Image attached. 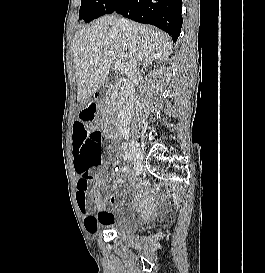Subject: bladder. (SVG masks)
Listing matches in <instances>:
<instances>
[{
	"mask_svg": "<svg viewBox=\"0 0 265 273\" xmlns=\"http://www.w3.org/2000/svg\"><path fill=\"white\" fill-rule=\"evenodd\" d=\"M140 223V219L135 216H120L107 224V227L116 233L132 234L138 230Z\"/></svg>",
	"mask_w": 265,
	"mask_h": 273,
	"instance_id": "obj_1",
	"label": "bladder"
}]
</instances>
